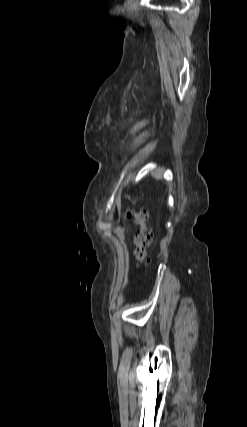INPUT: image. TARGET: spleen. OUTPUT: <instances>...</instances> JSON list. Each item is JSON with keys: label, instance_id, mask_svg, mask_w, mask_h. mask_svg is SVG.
I'll return each mask as SVG.
<instances>
[{"label": "spleen", "instance_id": "3e777b00", "mask_svg": "<svg viewBox=\"0 0 247 427\" xmlns=\"http://www.w3.org/2000/svg\"><path fill=\"white\" fill-rule=\"evenodd\" d=\"M163 173H164V169L158 168L152 172V176H154V178L156 179H161L163 176Z\"/></svg>", "mask_w": 247, "mask_h": 427}]
</instances>
